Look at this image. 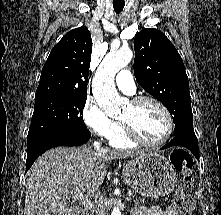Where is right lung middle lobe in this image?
Wrapping results in <instances>:
<instances>
[{
  "instance_id": "1",
  "label": "right lung middle lobe",
  "mask_w": 221,
  "mask_h": 215,
  "mask_svg": "<svg viewBox=\"0 0 221 215\" xmlns=\"http://www.w3.org/2000/svg\"><path fill=\"white\" fill-rule=\"evenodd\" d=\"M87 95H60L36 101L27 144L50 136L89 132L83 121Z\"/></svg>"
}]
</instances>
